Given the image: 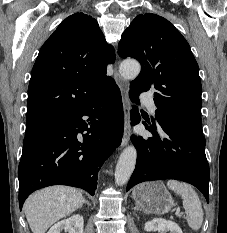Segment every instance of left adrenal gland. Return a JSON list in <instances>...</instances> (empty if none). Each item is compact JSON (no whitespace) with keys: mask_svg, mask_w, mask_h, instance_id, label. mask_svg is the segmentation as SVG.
<instances>
[{"mask_svg":"<svg viewBox=\"0 0 227 233\" xmlns=\"http://www.w3.org/2000/svg\"><path fill=\"white\" fill-rule=\"evenodd\" d=\"M134 210H135V211H138V210H139V208H138V207H134Z\"/></svg>","mask_w":227,"mask_h":233,"instance_id":"1","label":"left adrenal gland"}]
</instances>
